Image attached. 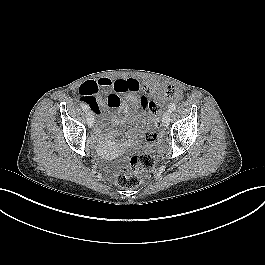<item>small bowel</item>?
I'll use <instances>...</instances> for the list:
<instances>
[{"label": "small bowel", "mask_w": 265, "mask_h": 265, "mask_svg": "<svg viewBox=\"0 0 265 265\" xmlns=\"http://www.w3.org/2000/svg\"><path fill=\"white\" fill-rule=\"evenodd\" d=\"M142 87L149 91L157 89V86L152 83L142 85L136 78L113 80L102 77L96 81L84 82L79 88V99L90 107L92 114L96 117L100 116L101 109L104 106L116 108L121 115H124L127 112L126 102L136 103ZM107 90L111 92L106 94L105 91ZM111 95H114L117 101L111 99ZM119 95L123 96V101H121ZM174 96H177V93ZM95 138L98 142H103L105 139L99 126L95 128Z\"/></svg>", "instance_id": "1"}]
</instances>
